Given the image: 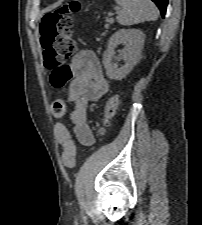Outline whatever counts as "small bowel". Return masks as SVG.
Segmentation results:
<instances>
[{
    "label": "small bowel",
    "mask_w": 202,
    "mask_h": 225,
    "mask_svg": "<svg viewBox=\"0 0 202 225\" xmlns=\"http://www.w3.org/2000/svg\"><path fill=\"white\" fill-rule=\"evenodd\" d=\"M72 77L67 85L62 88L67 93V99L73 103L70 119L73 126V134L84 146L94 143V135L88 123L87 107L103 97L108 91V83L103 76L101 63L97 55L89 50H80L70 64ZM58 142L64 146V134L70 132L63 127L56 126Z\"/></svg>",
    "instance_id": "c3829d8e"
}]
</instances>
